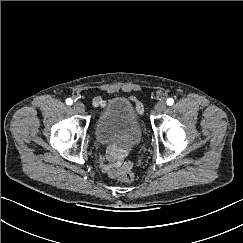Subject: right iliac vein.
Returning a JSON list of instances; mask_svg holds the SVG:
<instances>
[{
    "mask_svg": "<svg viewBox=\"0 0 243 243\" xmlns=\"http://www.w3.org/2000/svg\"><path fill=\"white\" fill-rule=\"evenodd\" d=\"M73 107H74L75 111H77L78 113H84V111H85V106L81 102H75Z\"/></svg>",
    "mask_w": 243,
    "mask_h": 243,
    "instance_id": "obj_1",
    "label": "right iliac vein"
}]
</instances>
